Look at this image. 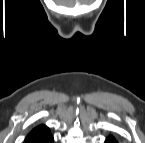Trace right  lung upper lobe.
I'll return each mask as SVG.
<instances>
[{
	"label": "right lung upper lobe",
	"instance_id": "1",
	"mask_svg": "<svg viewBox=\"0 0 145 143\" xmlns=\"http://www.w3.org/2000/svg\"><path fill=\"white\" fill-rule=\"evenodd\" d=\"M25 143H53V137L45 125H40L28 134Z\"/></svg>",
	"mask_w": 145,
	"mask_h": 143
}]
</instances>
